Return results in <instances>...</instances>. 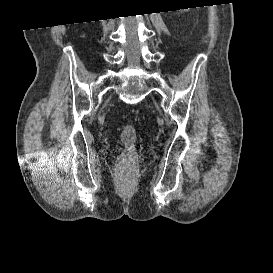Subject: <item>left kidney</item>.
<instances>
[{"instance_id":"5707ae66","label":"left kidney","mask_w":273,"mask_h":273,"mask_svg":"<svg viewBox=\"0 0 273 273\" xmlns=\"http://www.w3.org/2000/svg\"><path fill=\"white\" fill-rule=\"evenodd\" d=\"M180 11H187V9H181Z\"/></svg>"}]
</instances>
